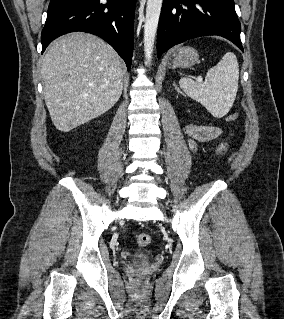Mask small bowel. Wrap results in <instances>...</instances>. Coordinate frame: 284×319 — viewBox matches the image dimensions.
Here are the masks:
<instances>
[{
  "mask_svg": "<svg viewBox=\"0 0 284 319\" xmlns=\"http://www.w3.org/2000/svg\"><path fill=\"white\" fill-rule=\"evenodd\" d=\"M186 133L189 137V145L192 150L197 149V145L202 142H209L222 133L219 127L208 124H189L186 127Z\"/></svg>",
  "mask_w": 284,
  "mask_h": 319,
  "instance_id": "obj_1",
  "label": "small bowel"
}]
</instances>
